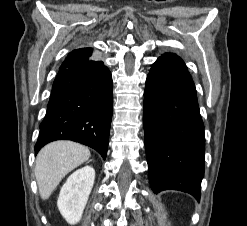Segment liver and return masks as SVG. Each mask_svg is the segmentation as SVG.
<instances>
[{
  "instance_id": "obj_1",
  "label": "liver",
  "mask_w": 247,
  "mask_h": 226,
  "mask_svg": "<svg viewBox=\"0 0 247 226\" xmlns=\"http://www.w3.org/2000/svg\"><path fill=\"white\" fill-rule=\"evenodd\" d=\"M89 157L87 147L72 141H56L43 147L35 162V177L41 198L48 199L60 181Z\"/></svg>"
}]
</instances>
